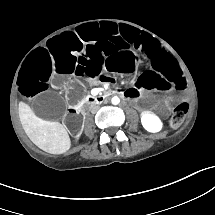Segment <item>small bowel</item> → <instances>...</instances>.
Segmentation results:
<instances>
[{
	"label": "small bowel",
	"instance_id": "1",
	"mask_svg": "<svg viewBox=\"0 0 215 215\" xmlns=\"http://www.w3.org/2000/svg\"><path fill=\"white\" fill-rule=\"evenodd\" d=\"M135 93H136V92H135L134 90H132V91L129 92L128 96L135 95ZM126 96H127V95H126Z\"/></svg>",
	"mask_w": 215,
	"mask_h": 215
}]
</instances>
